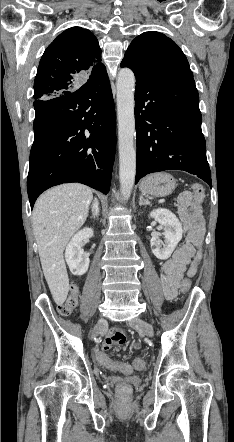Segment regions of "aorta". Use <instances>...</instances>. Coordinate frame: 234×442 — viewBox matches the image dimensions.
<instances>
[{
	"label": "aorta",
	"mask_w": 234,
	"mask_h": 442,
	"mask_svg": "<svg viewBox=\"0 0 234 442\" xmlns=\"http://www.w3.org/2000/svg\"><path fill=\"white\" fill-rule=\"evenodd\" d=\"M116 86L120 189L123 199L128 200L136 174V150L134 147L135 76L133 71L129 68H122L118 73Z\"/></svg>",
	"instance_id": "aorta-1"
}]
</instances>
